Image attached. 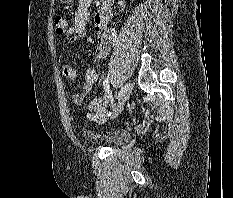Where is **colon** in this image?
Segmentation results:
<instances>
[{
    "label": "colon",
    "mask_w": 233,
    "mask_h": 198,
    "mask_svg": "<svg viewBox=\"0 0 233 198\" xmlns=\"http://www.w3.org/2000/svg\"><path fill=\"white\" fill-rule=\"evenodd\" d=\"M55 31L58 35H63L67 23L63 15L57 14L54 18ZM108 101L105 97H98L93 99L89 104V109L97 113H103L106 109Z\"/></svg>",
    "instance_id": "colon-1"
}]
</instances>
